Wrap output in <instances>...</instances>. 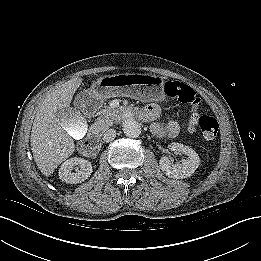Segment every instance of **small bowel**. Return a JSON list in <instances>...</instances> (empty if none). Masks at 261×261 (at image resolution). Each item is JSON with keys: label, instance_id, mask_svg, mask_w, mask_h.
Listing matches in <instances>:
<instances>
[{"label": "small bowel", "instance_id": "1", "mask_svg": "<svg viewBox=\"0 0 261 261\" xmlns=\"http://www.w3.org/2000/svg\"><path fill=\"white\" fill-rule=\"evenodd\" d=\"M160 112L157 104H149L144 110L142 116L146 119L155 118ZM151 132L161 138H175L181 130V125L174 120H169L165 126L160 123H153L150 127Z\"/></svg>", "mask_w": 261, "mask_h": 261}]
</instances>
